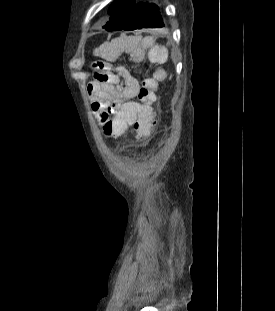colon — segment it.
<instances>
[{"label": "colon", "mask_w": 275, "mask_h": 311, "mask_svg": "<svg viewBox=\"0 0 275 311\" xmlns=\"http://www.w3.org/2000/svg\"><path fill=\"white\" fill-rule=\"evenodd\" d=\"M94 77L97 81H104L110 74V67L107 63L98 61L93 64ZM157 85L152 78H145L141 81L138 90V97L143 101L156 100ZM103 133L106 137H117L120 135L119 130H129V118H112L103 119ZM138 134V133H136Z\"/></svg>", "instance_id": "5ec220e1"}]
</instances>
